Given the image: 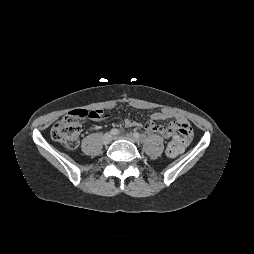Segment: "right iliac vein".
<instances>
[{
	"label": "right iliac vein",
	"instance_id": "63e3f726",
	"mask_svg": "<svg viewBox=\"0 0 254 254\" xmlns=\"http://www.w3.org/2000/svg\"><path fill=\"white\" fill-rule=\"evenodd\" d=\"M112 140H113V136H112L111 134H105V135L103 136V139H102L103 144H105V145L111 143Z\"/></svg>",
	"mask_w": 254,
	"mask_h": 254
}]
</instances>
